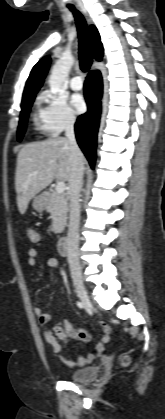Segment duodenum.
<instances>
[{
	"mask_svg": "<svg viewBox=\"0 0 165 419\" xmlns=\"http://www.w3.org/2000/svg\"><path fill=\"white\" fill-rule=\"evenodd\" d=\"M57 249L61 256L67 255V238L65 236L60 237L58 240Z\"/></svg>",
	"mask_w": 165,
	"mask_h": 419,
	"instance_id": "duodenum-1",
	"label": "duodenum"
}]
</instances>
